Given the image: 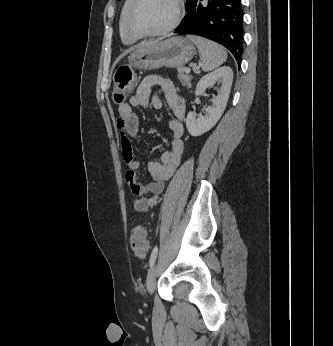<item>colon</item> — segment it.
<instances>
[{"instance_id":"5ec220e1","label":"colon","mask_w":333,"mask_h":346,"mask_svg":"<svg viewBox=\"0 0 333 346\" xmlns=\"http://www.w3.org/2000/svg\"><path fill=\"white\" fill-rule=\"evenodd\" d=\"M133 71L130 66L123 65L114 75L113 96L116 103H123L132 91ZM149 247L148 234L144 227H136L130 237L131 251L138 257H143Z\"/></svg>"}]
</instances>
